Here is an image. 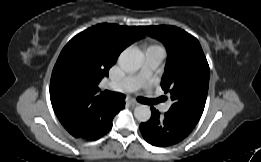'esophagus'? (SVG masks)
I'll use <instances>...</instances> for the list:
<instances>
[{
  "mask_svg": "<svg viewBox=\"0 0 261 162\" xmlns=\"http://www.w3.org/2000/svg\"><path fill=\"white\" fill-rule=\"evenodd\" d=\"M127 104H128L129 106H131V107H136V106L139 105V103H137V102H135V101H132V100L128 101Z\"/></svg>",
  "mask_w": 261,
  "mask_h": 162,
  "instance_id": "esophagus-1",
  "label": "esophagus"
}]
</instances>
